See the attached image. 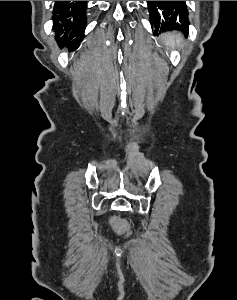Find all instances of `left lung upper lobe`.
I'll use <instances>...</instances> for the list:
<instances>
[{
  "label": "left lung upper lobe",
  "instance_id": "5c2ea615",
  "mask_svg": "<svg viewBox=\"0 0 237 300\" xmlns=\"http://www.w3.org/2000/svg\"><path fill=\"white\" fill-rule=\"evenodd\" d=\"M150 23L154 33L167 30H188V10L185 1H156L148 5Z\"/></svg>",
  "mask_w": 237,
  "mask_h": 300
}]
</instances>
